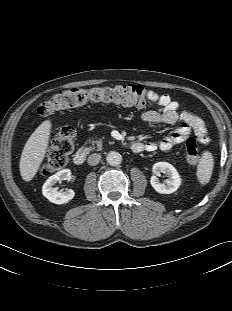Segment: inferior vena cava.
<instances>
[{
  "label": "inferior vena cava",
  "mask_w": 232,
  "mask_h": 311,
  "mask_svg": "<svg viewBox=\"0 0 232 311\" xmlns=\"http://www.w3.org/2000/svg\"><path fill=\"white\" fill-rule=\"evenodd\" d=\"M101 160V155L98 154V153H94V154H91L89 157H88V164L91 165V166H95L97 165Z\"/></svg>",
  "instance_id": "602c4592"
}]
</instances>
